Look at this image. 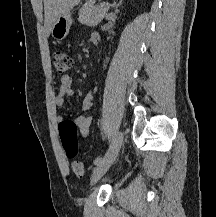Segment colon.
Returning a JSON list of instances; mask_svg holds the SVG:
<instances>
[{
	"mask_svg": "<svg viewBox=\"0 0 216 217\" xmlns=\"http://www.w3.org/2000/svg\"><path fill=\"white\" fill-rule=\"evenodd\" d=\"M52 60L56 72L60 75L67 73L72 66L71 57L64 51H55ZM60 138L66 156L74 158L78 152L77 127L75 122L64 120L60 127ZM72 170L78 177H82L86 173L85 165L80 161H75L72 164Z\"/></svg>",
	"mask_w": 216,
	"mask_h": 217,
	"instance_id": "obj_1",
	"label": "colon"
}]
</instances>
